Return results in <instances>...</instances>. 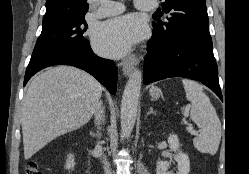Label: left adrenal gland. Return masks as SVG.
I'll list each match as a JSON object with an SVG mask.
<instances>
[{
	"mask_svg": "<svg viewBox=\"0 0 249 174\" xmlns=\"http://www.w3.org/2000/svg\"><path fill=\"white\" fill-rule=\"evenodd\" d=\"M150 114H154V115L156 114V112L153 111V108H152V107L149 108V111H148V113H147V116L150 115Z\"/></svg>",
	"mask_w": 249,
	"mask_h": 174,
	"instance_id": "left-adrenal-gland-1",
	"label": "left adrenal gland"
}]
</instances>
